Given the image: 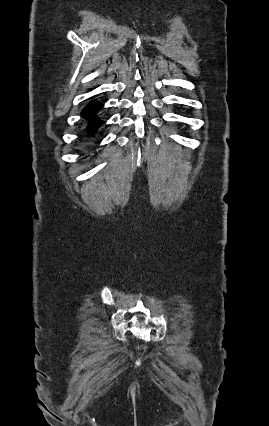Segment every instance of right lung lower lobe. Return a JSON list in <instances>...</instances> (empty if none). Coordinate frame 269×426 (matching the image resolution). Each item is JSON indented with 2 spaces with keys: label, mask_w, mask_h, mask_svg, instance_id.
Instances as JSON below:
<instances>
[{
  "label": "right lung lower lobe",
  "mask_w": 269,
  "mask_h": 426,
  "mask_svg": "<svg viewBox=\"0 0 269 426\" xmlns=\"http://www.w3.org/2000/svg\"><path fill=\"white\" fill-rule=\"evenodd\" d=\"M101 107L102 104L100 102L95 101L86 106L82 111V115L84 118L91 119L88 125V131L90 135H93L96 129L103 123L99 119H93V116L100 110Z\"/></svg>",
  "instance_id": "right-lung-lower-lobe-1"
}]
</instances>
